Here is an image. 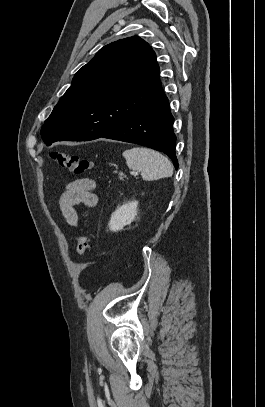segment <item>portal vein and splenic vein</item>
<instances>
[{"instance_id": "obj_1", "label": "portal vein and splenic vein", "mask_w": 265, "mask_h": 407, "mask_svg": "<svg viewBox=\"0 0 265 407\" xmlns=\"http://www.w3.org/2000/svg\"><path fill=\"white\" fill-rule=\"evenodd\" d=\"M131 174H132V175H134V174H135V172H131Z\"/></svg>"}]
</instances>
